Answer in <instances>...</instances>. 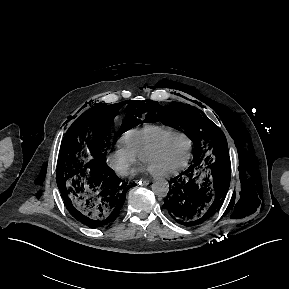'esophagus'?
I'll return each mask as SVG.
<instances>
[{
    "label": "esophagus",
    "mask_w": 289,
    "mask_h": 289,
    "mask_svg": "<svg viewBox=\"0 0 289 289\" xmlns=\"http://www.w3.org/2000/svg\"><path fill=\"white\" fill-rule=\"evenodd\" d=\"M138 183H139L140 185L147 186V185L150 184V181H149V180H144V179H143V180H139Z\"/></svg>",
    "instance_id": "1"
}]
</instances>
